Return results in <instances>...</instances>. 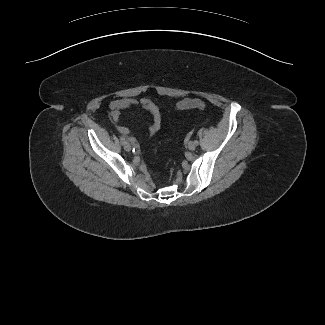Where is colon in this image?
Wrapping results in <instances>:
<instances>
[{
    "label": "colon",
    "mask_w": 325,
    "mask_h": 325,
    "mask_svg": "<svg viewBox=\"0 0 325 325\" xmlns=\"http://www.w3.org/2000/svg\"><path fill=\"white\" fill-rule=\"evenodd\" d=\"M206 104L199 99H184L177 103L176 109L183 110V109H204Z\"/></svg>",
    "instance_id": "colon-1"
}]
</instances>
